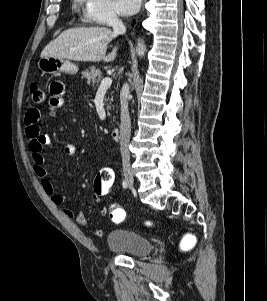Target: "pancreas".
Here are the masks:
<instances>
[{
    "label": "pancreas",
    "mask_w": 267,
    "mask_h": 301,
    "mask_svg": "<svg viewBox=\"0 0 267 301\" xmlns=\"http://www.w3.org/2000/svg\"><path fill=\"white\" fill-rule=\"evenodd\" d=\"M83 77L87 80V83L89 85H92L93 87L95 85H98V83L100 82L101 78H102V73L99 69H97L96 67L92 66L89 68V70H86L82 73ZM113 101V98L110 99V103L107 104V110L111 109V102Z\"/></svg>",
    "instance_id": "pancreas-1"
}]
</instances>
